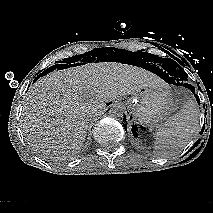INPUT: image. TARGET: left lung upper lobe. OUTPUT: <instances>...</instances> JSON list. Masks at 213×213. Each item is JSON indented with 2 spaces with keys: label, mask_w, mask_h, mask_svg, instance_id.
Wrapping results in <instances>:
<instances>
[{
  "label": "left lung upper lobe",
  "mask_w": 213,
  "mask_h": 213,
  "mask_svg": "<svg viewBox=\"0 0 213 213\" xmlns=\"http://www.w3.org/2000/svg\"><path fill=\"white\" fill-rule=\"evenodd\" d=\"M157 59L159 60L157 62L161 63L162 68L166 70L176 81H187V74L178 63L168 58L164 59L158 57Z\"/></svg>",
  "instance_id": "left-lung-upper-lobe-1"
}]
</instances>
